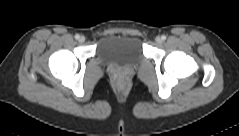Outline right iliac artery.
<instances>
[{
	"label": "right iliac artery",
	"mask_w": 239,
	"mask_h": 136,
	"mask_svg": "<svg viewBox=\"0 0 239 136\" xmlns=\"http://www.w3.org/2000/svg\"><path fill=\"white\" fill-rule=\"evenodd\" d=\"M80 38V35L79 34H76L75 35V39H79Z\"/></svg>",
	"instance_id": "right-iliac-artery-1"
}]
</instances>
